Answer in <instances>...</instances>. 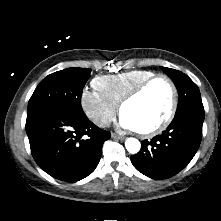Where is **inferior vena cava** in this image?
I'll return each mask as SVG.
<instances>
[{
  "instance_id": "obj_1",
  "label": "inferior vena cava",
  "mask_w": 221,
  "mask_h": 221,
  "mask_svg": "<svg viewBox=\"0 0 221 221\" xmlns=\"http://www.w3.org/2000/svg\"><path fill=\"white\" fill-rule=\"evenodd\" d=\"M110 119L106 118V117H102L97 121V124L99 127H108L110 126Z\"/></svg>"
}]
</instances>
